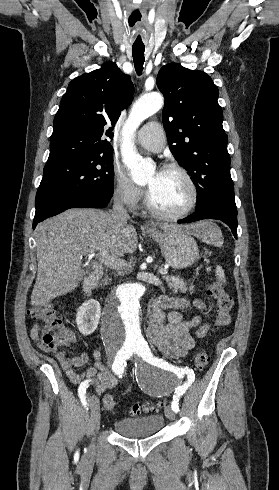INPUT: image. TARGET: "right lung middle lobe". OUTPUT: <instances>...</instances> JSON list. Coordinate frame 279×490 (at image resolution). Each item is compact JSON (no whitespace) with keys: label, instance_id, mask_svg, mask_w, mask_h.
I'll return each instance as SVG.
<instances>
[{"label":"right lung middle lobe","instance_id":"right-lung-middle-lobe-1","mask_svg":"<svg viewBox=\"0 0 279 490\" xmlns=\"http://www.w3.org/2000/svg\"><path fill=\"white\" fill-rule=\"evenodd\" d=\"M113 183V149L47 162L35 204L52 194L88 193L111 198Z\"/></svg>","mask_w":279,"mask_h":490}]
</instances>
